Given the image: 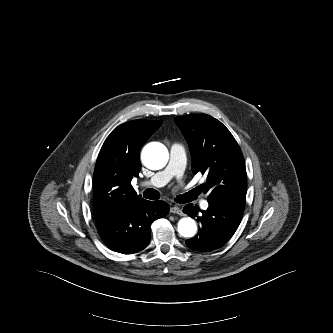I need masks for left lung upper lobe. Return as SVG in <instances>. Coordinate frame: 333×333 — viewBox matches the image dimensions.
<instances>
[{
  "mask_svg": "<svg viewBox=\"0 0 333 333\" xmlns=\"http://www.w3.org/2000/svg\"><path fill=\"white\" fill-rule=\"evenodd\" d=\"M192 156V171L207 175L197 191L208 193V201L218 197L246 196L247 175L241 150L230 131L205 114L175 118Z\"/></svg>",
  "mask_w": 333,
  "mask_h": 333,
  "instance_id": "1",
  "label": "left lung upper lobe"
}]
</instances>
